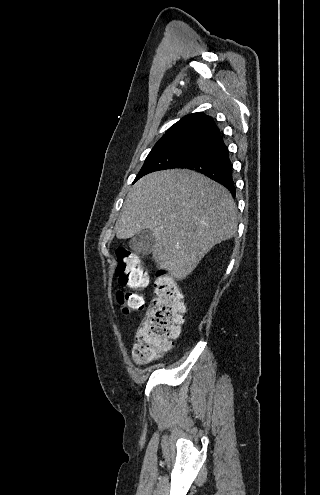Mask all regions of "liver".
<instances>
[{
    "label": "liver",
    "instance_id": "6515ba94",
    "mask_svg": "<svg viewBox=\"0 0 320 495\" xmlns=\"http://www.w3.org/2000/svg\"><path fill=\"white\" fill-rule=\"evenodd\" d=\"M144 229L155 236L153 260L183 280L215 245L236 234V203L225 187L195 171L151 173L130 189L116 236L129 239Z\"/></svg>",
    "mask_w": 320,
    "mask_h": 495
}]
</instances>
